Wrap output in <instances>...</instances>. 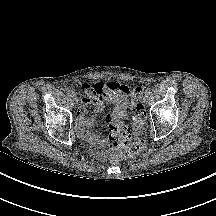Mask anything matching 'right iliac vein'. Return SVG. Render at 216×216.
<instances>
[{
  "label": "right iliac vein",
  "instance_id": "1",
  "mask_svg": "<svg viewBox=\"0 0 216 216\" xmlns=\"http://www.w3.org/2000/svg\"><path fill=\"white\" fill-rule=\"evenodd\" d=\"M72 100L74 104H78V98L76 96H74Z\"/></svg>",
  "mask_w": 216,
  "mask_h": 216
}]
</instances>
